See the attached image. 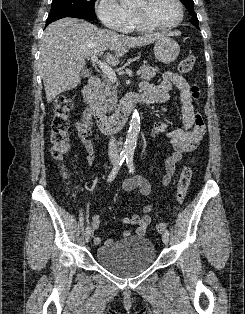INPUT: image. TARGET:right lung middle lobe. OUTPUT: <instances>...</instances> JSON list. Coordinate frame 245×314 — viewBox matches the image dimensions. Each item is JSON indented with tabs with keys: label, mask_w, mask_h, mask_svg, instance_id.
I'll list each match as a JSON object with an SVG mask.
<instances>
[{
	"label": "right lung middle lobe",
	"mask_w": 245,
	"mask_h": 314,
	"mask_svg": "<svg viewBox=\"0 0 245 314\" xmlns=\"http://www.w3.org/2000/svg\"><path fill=\"white\" fill-rule=\"evenodd\" d=\"M96 0H53L49 16L59 14H83L95 17L94 4Z\"/></svg>",
	"instance_id": "right-lung-middle-lobe-1"
}]
</instances>
